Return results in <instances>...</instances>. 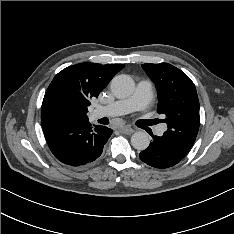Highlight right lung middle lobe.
Here are the masks:
<instances>
[{"label":"right lung middle lobe","instance_id":"dd1d6c3e","mask_svg":"<svg viewBox=\"0 0 234 234\" xmlns=\"http://www.w3.org/2000/svg\"><path fill=\"white\" fill-rule=\"evenodd\" d=\"M72 119H74L73 116L66 109L60 106L51 107L41 115L42 127L70 121Z\"/></svg>","mask_w":234,"mask_h":234}]
</instances>
